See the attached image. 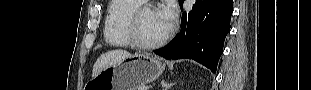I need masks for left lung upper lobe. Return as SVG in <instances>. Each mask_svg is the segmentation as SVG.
<instances>
[{
    "mask_svg": "<svg viewBox=\"0 0 311 90\" xmlns=\"http://www.w3.org/2000/svg\"><path fill=\"white\" fill-rule=\"evenodd\" d=\"M184 2V0H179L180 5H182Z\"/></svg>",
    "mask_w": 311,
    "mask_h": 90,
    "instance_id": "left-lung-upper-lobe-1",
    "label": "left lung upper lobe"
}]
</instances>
